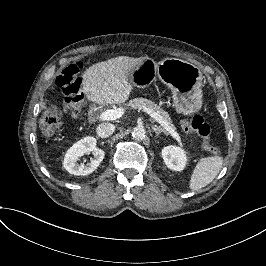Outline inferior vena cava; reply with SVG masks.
<instances>
[{
  "label": "inferior vena cava",
  "instance_id": "obj_1",
  "mask_svg": "<svg viewBox=\"0 0 266 266\" xmlns=\"http://www.w3.org/2000/svg\"><path fill=\"white\" fill-rule=\"evenodd\" d=\"M114 132V126L108 123H102L97 126L96 134L100 138H108Z\"/></svg>",
  "mask_w": 266,
  "mask_h": 266
}]
</instances>
